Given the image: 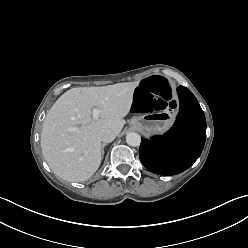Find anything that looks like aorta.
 Masks as SVG:
<instances>
[{
  "instance_id": "aorta-1",
  "label": "aorta",
  "mask_w": 248,
  "mask_h": 248,
  "mask_svg": "<svg viewBox=\"0 0 248 248\" xmlns=\"http://www.w3.org/2000/svg\"><path fill=\"white\" fill-rule=\"evenodd\" d=\"M126 142L129 146L137 147L141 143V136L136 132H130L126 135Z\"/></svg>"
}]
</instances>
